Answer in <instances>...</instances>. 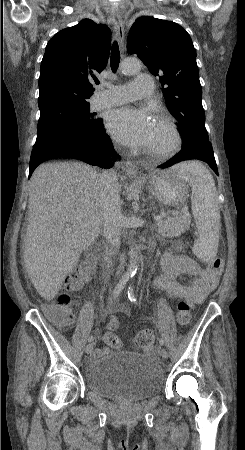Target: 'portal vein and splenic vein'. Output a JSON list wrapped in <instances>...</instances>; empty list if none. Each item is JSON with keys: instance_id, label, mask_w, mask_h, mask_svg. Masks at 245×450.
Masks as SVG:
<instances>
[{"instance_id": "obj_1", "label": "portal vein and splenic vein", "mask_w": 245, "mask_h": 450, "mask_svg": "<svg viewBox=\"0 0 245 450\" xmlns=\"http://www.w3.org/2000/svg\"><path fill=\"white\" fill-rule=\"evenodd\" d=\"M181 213H188V207L185 206V207L182 209ZM173 215H178V212H177V211L173 212ZM154 219H155L156 221H161V220H162V217H161L160 215H156V216H154ZM67 231H68V232H72V229L69 228V229H67Z\"/></svg>"}]
</instances>
